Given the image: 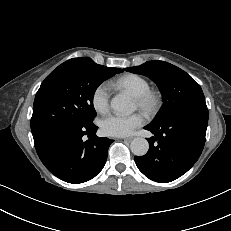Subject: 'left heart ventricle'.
Instances as JSON below:
<instances>
[{
    "mask_svg": "<svg viewBox=\"0 0 231 231\" xmlns=\"http://www.w3.org/2000/svg\"><path fill=\"white\" fill-rule=\"evenodd\" d=\"M135 107H137L136 101L134 100Z\"/></svg>",
    "mask_w": 231,
    "mask_h": 231,
    "instance_id": "left-heart-ventricle-1",
    "label": "left heart ventricle"
}]
</instances>
